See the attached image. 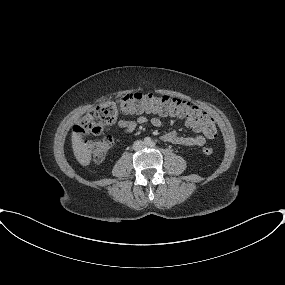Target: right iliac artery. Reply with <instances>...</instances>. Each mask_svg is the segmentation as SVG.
Masks as SVG:
<instances>
[{
  "label": "right iliac artery",
  "instance_id": "right-iliac-artery-1",
  "mask_svg": "<svg viewBox=\"0 0 285 285\" xmlns=\"http://www.w3.org/2000/svg\"><path fill=\"white\" fill-rule=\"evenodd\" d=\"M144 143H145V144H150V143H151V139H150L149 137H146V138L144 139Z\"/></svg>",
  "mask_w": 285,
  "mask_h": 285
}]
</instances>
